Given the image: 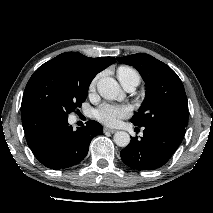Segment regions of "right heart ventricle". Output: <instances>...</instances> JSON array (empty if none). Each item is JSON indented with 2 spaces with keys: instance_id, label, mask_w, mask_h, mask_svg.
<instances>
[{
  "instance_id": "right-heart-ventricle-1",
  "label": "right heart ventricle",
  "mask_w": 213,
  "mask_h": 213,
  "mask_svg": "<svg viewBox=\"0 0 213 213\" xmlns=\"http://www.w3.org/2000/svg\"><path fill=\"white\" fill-rule=\"evenodd\" d=\"M117 75H118V78L119 80H123V79H126L128 77H137L139 78L137 72L132 69L131 67H128V66H121L119 67L118 71H117Z\"/></svg>"
}]
</instances>
